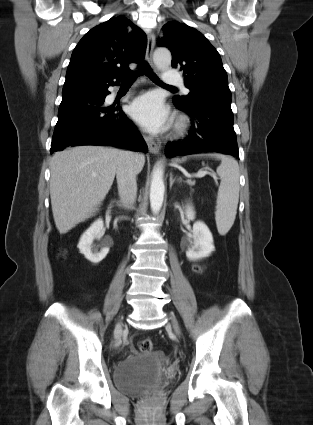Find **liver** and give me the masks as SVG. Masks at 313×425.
I'll use <instances>...</instances> for the list:
<instances>
[{
  "mask_svg": "<svg viewBox=\"0 0 313 425\" xmlns=\"http://www.w3.org/2000/svg\"><path fill=\"white\" fill-rule=\"evenodd\" d=\"M123 153L126 151L115 148L78 146L53 155L50 197L60 234L94 215L113 184ZM134 155L138 174L145 164V156Z\"/></svg>",
  "mask_w": 313,
  "mask_h": 425,
  "instance_id": "obj_1",
  "label": "liver"
}]
</instances>
